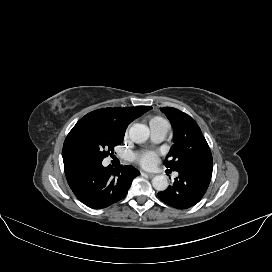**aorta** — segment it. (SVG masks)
Returning <instances> with one entry per match:
<instances>
[{"instance_id": "1", "label": "aorta", "mask_w": 272, "mask_h": 272, "mask_svg": "<svg viewBox=\"0 0 272 272\" xmlns=\"http://www.w3.org/2000/svg\"><path fill=\"white\" fill-rule=\"evenodd\" d=\"M129 138L134 143H143L149 138V129L136 123L129 129ZM152 186L157 191H164L168 187V180L164 175H157L152 179Z\"/></svg>"}]
</instances>
